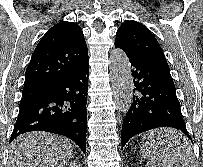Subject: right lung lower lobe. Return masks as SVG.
<instances>
[{"label":"right lung lower lobe","instance_id":"obj_1","mask_svg":"<svg viewBox=\"0 0 203 167\" xmlns=\"http://www.w3.org/2000/svg\"><path fill=\"white\" fill-rule=\"evenodd\" d=\"M88 60L44 94L23 98L11 135L46 131L66 136L85 153L87 131Z\"/></svg>","mask_w":203,"mask_h":167}]
</instances>
